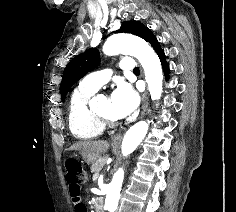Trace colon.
Returning a JSON list of instances; mask_svg holds the SVG:
<instances>
[{"label": "colon", "mask_w": 236, "mask_h": 212, "mask_svg": "<svg viewBox=\"0 0 236 212\" xmlns=\"http://www.w3.org/2000/svg\"><path fill=\"white\" fill-rule=\"evenodd\" d=\"M67 175H76V179H80V185H83L87 180V174L82 164L76 159H70L66 162ZM68 183V180H67ZM72 199V198H71Z\"/></svg>", "instance_id": "colon-1"}]
</instances>
